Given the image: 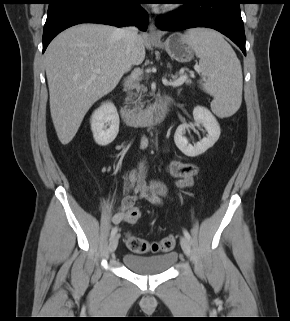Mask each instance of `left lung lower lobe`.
<instances>
[{"instance_id":"1","label":"left lung lower lobe","mask_w":290,"mask_h":321,"mask_svg":"<svg viewBox=\"0 0 290 321\" xmlns=\"http://www.w3.org/2000/svg\"><path fill=\"white\" fill-rule=\"evenodd\" d=\"M185 6L156 18L161 30L178 31L194 27L215 29L230 38L246 55L241 0H178Z\"/></svg>"}]
</instances>
